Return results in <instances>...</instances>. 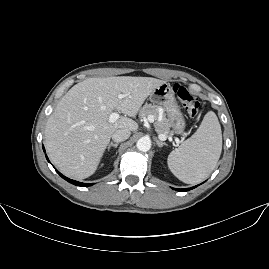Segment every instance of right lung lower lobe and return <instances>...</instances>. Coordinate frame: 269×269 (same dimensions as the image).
I'll list each match as a JSON object with an SVG mask.
<instances>
[{
	"mask_svg": "<svg viewBox=\"0 0 269 269\" xmlns=\"http://www.w3.org/2000/svg\"><path fill=\"white\" fill-rule=\"evenodd\" d=\"M43 150H44V152H45L44 147H43ZM46 158H47V160L49 161V159H48L47 156H46ZM49 162H50V161H49ZM55 170H56V169H55ZM56 171H57V170H56ZM57 173H58L62 178H64L65 180H67L68 182H70V183H72V184H74V185H76V186L87 187V186H90V185H91V184H88V183H81V182H78V181L71 180V179L65 177L64 175H62V174H61L60 172H58V171H57Z\"/></svg>",
	"mask_w": 269,
	"mask_h": 269,
	"instance_id": "98d812e1",
	"label": "right lung lower lobe"
}]
</instances>
